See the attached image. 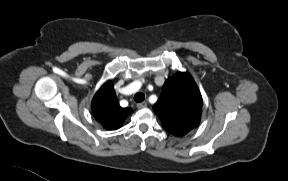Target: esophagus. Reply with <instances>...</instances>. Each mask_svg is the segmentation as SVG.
Returning <instances> with one entry per match:
<instances>
[{
    "mask_svg": "<svg viewBox=\"0 0 288 181\" xmlns=\"http://www.w3.org/2000/svg\"><path fill=\"white\" fill-rule=\"evenodd\" d=\"M147 107V102H141L137 104L138 109H143Z\"/></svg>",
    "mask_w": 288,
    "mask_h": 181,
    "instance_id": "esophagus-1",
    "label": "esophagus"
}]
</instances>
